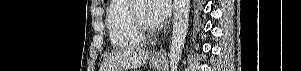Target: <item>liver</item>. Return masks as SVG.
<instances>
[{
	"label": "liver",
	"instance_id": "6515ba94",
	"mask_svg": "<svg viewBox=\"0 0 301 71\" xmlns=\"http://www.w3.org/2000/svg\"><path fill=\"white\" fill-rule=\"evenodd\" d=\"M149 57V51L129 49L112 52L103 60L101 71H126L143 66Z\"/></svg>",
	"mask_w": 301,
	"mask_h": 71
}]
</instances>
